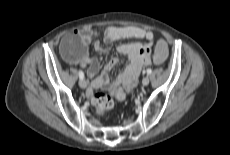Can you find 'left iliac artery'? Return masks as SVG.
<instances>
[{
    "mask_svg": "<svg viewBox=\"0 0 230 155\" xmlns=\"http://www.w3.org/2000/svg\"><path fill=\"white\" fill-rule=\"evenodd\" d=\"M151 72H152L151 69H147V70H146V73H147V74H151Z\"/></svg>",
    "mask_w": 230,
    "mask_h": 155,
    "instance_id": "1",
    "label": "left iliac artery"
}]
</instances>
